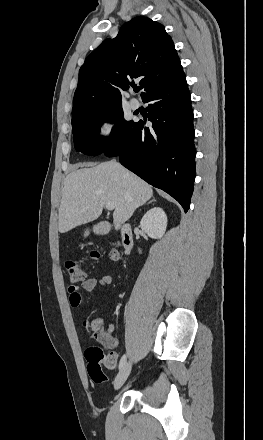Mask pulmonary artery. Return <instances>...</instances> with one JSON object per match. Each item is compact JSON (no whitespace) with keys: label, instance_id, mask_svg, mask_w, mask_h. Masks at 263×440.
Returning a JSON list of instances; mask_svg holds the SVG:
<instances>
[{"label":"pulmonary artery","instance_id":"obj_1","mask_svg":"<svg viewBox=\"0 0 263 440\" xmlns=\"http://www.w3.org/2000/svg\"><path fill=\"white\" fill-rule=\"evenodd\" d=\"M129 104H130V107H131L132 109H137V108H139V101H138L136 98L131 97V98L129 99Z\"/></svg>","mask_w":263,"mask_h":440}]
</instances>
